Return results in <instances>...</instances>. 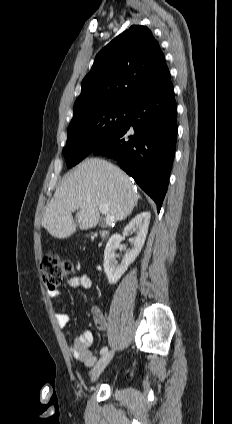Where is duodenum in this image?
<instances>
[{
	"label": "duodenum",
	"instance_id": "410a0bca",
	"mask_svg": "<svg viewBox=\"0 0 232 424\" xmlns=\"http://www.w3.org/2000/svg\"><path fill=\"white\" fill-rule=\"evenodd\" d=\"M106 236H107V233H103V234H102V237H106Z\"/></svg>",
	"mask_w": 232,
	"mask_h": 424
}]
</instances>
